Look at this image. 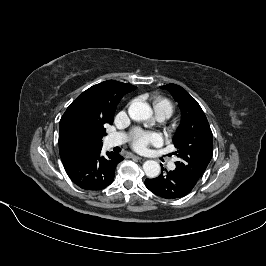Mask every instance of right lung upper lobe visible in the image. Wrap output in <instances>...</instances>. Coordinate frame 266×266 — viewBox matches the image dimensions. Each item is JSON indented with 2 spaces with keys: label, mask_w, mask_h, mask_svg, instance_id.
Listing matches in <instances>:
<instances>
[{
  "label": "right lung upper lobe",
  "mask_w": 266,
  "mask_h": 266,
  "mask_svg": "<svg viewBox=\"0 0 266 266\" xmlns=\"http://www.w3.org/2000/svg\"><path fill=\"white\" fill-rule=\"evenodd\" d=\"M131 84L108 80L80 94L67 108L59 125V153L63 165L102 148L101 124H112L116 107Z\"/></svg>",
  "instance_id": "right-lung-upper-lobe-1"
}]
</instances>
